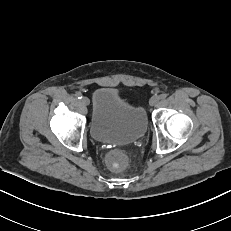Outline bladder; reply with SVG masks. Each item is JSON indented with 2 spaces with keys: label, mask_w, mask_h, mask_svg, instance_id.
Listing matches in <instances>:
<instances>
[{
  "label": "bladder",
  "mask_w": 231,
  "mask_h": 231,
  "mask_svg": "<svg viewBox=\"0 0 231 231\" xmlns=\"http://www.w3.org/2000/svg\"><path fill=\"white\" fill-rule=\"evenodd\" d=\"M148 126L144 108L121 98L109 87L93 94L90 133L103 143H132L142 138Z\"/></svg>",
  "instance_id": "31cf9c89"
}]
</instances>
